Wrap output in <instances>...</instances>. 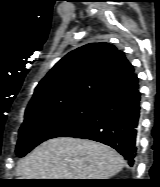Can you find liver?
I'll return each instance as SVG.
<instances>
[{
  "label": "liver",
  "instance_id": "liver-1",
  "mask_svg": "<svg viewBox=\"0 0 160 187\" xmlns=\"http://www.w3.org/2000/svg\"><path fill=\"white\" fill-rule=\"evenodd\" d=\"M124 165L123 157L107 145L58 137L21 159L16 173L19 179H109Z\"/></svg>",
  "mask_w": 160,
  "mask_h": 187
}]
</instances>
